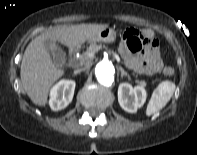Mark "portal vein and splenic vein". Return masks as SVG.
I'll use <instances>...</instances> for the list:
<instances>
[{
	"instance_id": "1",
	"label": "portal vein and splenic vein",
	"mask_w": 197,
	"mask_h": 155,
	"mask_svg": "<svg viewBox=\"0 0 197 155\" xmlns=\"http://www.w3.org/2000/svg\"><path fill=\"white\" fill-rule=\"evenodd\" d=\"M112 54H113L114 58L117 60V62L120 63L121 62L120 57L114 52H112Z\"/></svg>"
}]
</instances>
